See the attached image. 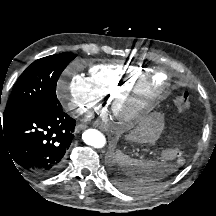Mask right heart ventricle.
<instances>
[{
	"instance_id": "1",
	"label": "right heart ventricle",
	"mask_w": 216,
	"mask_h": 216,
	"mask_svg": "<svg viewBox=\"0 0 216 216\" xmlns=\"http://www.w3.org/2000/svg\"><path fill=\"white\" fill-rule=\"evenodd\" d=\"M89 73V78L99 96L111 99L126 92L151 71L127 63H102L93 65Z\"/></svg>"
}]
</instances>
